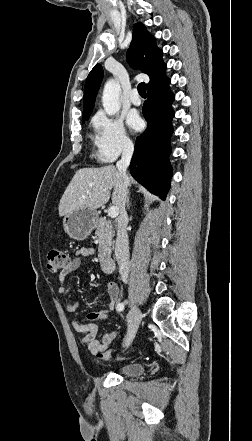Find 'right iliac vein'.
I'll return each mask as SVG.
<instances>
[{
	"label": "right iliac vein",
	"mask_w": 252,
	"mask_h": 441,
	"mask_svg": "<svg viewBox=\"0 0 252 441\" xmlns=\"http://www.w3.org/2000/svg\"><path fill=\"white\" fill-rule=\"evenodd\" d=\"M141 322V313L139 309L134 306L130 312V317L128 321V331L126 337V345L129 346L134 339L136 332L139 328Z\"/></svg>",
	"instance_id": "63e3f726"
}]
</instances>
